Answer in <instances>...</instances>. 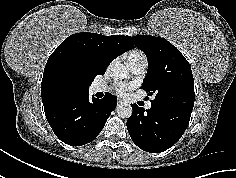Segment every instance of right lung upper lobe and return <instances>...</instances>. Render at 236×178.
I'll list each match as a JSON object with an SVG mask.
<instances>
[{"mask_svg": "<svg viewBox=\"0 0 236 178\" xmlns=\"http://www.w3.org/2000/svg\"><path fill=\"white\" fill-rule=\"evenodd\" d=\"M133 47L128 36L124 35L76 33L69 36L50 55L45 66L41 83L43 104L64 98L54 88L55 79L63 70L76 68L95 76L102 75L114 58Z\"/></svg>", "mask_w": 236, "mask_h": 178, "instance_id": "1", "label": "right lung upper lobe"}]
</instances>
